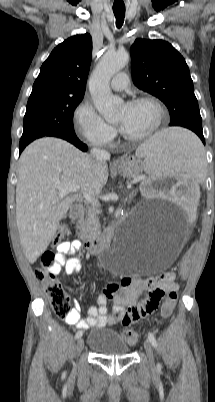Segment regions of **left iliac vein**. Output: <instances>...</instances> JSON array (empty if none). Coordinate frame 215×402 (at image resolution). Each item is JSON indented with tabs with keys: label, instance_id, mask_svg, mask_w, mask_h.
I'll list each match as a JSON object with an SVG mask.
<instances>
[{
	"label": "left iliac vein",
	"instance_id": "left-iliac-vein-1",
	"mask_svg": "<svg viewBox=\"0 0 215 402\" xmlns=\"http://www.w3.org/2000/svg\"><path fill=\"white\" fill-rule=\"evenodd\" d=\"M144 348H145V351H146L147 356L149 358L150 367L152 369H154L155 368V363H154V356H153V348H152V345H151L149 340L144 341Z\"/></svg>",
	"mask_w": 215,
	"mask_h": 402
}]
</instances>
